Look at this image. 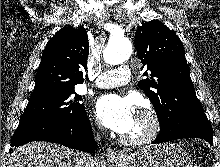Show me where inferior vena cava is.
<instances>
[{"label": "inferior vena cava", "instance_id": "obj_1", "mask_svg": "<svg viewBox=\"0 0 220 167\" xmlns=\"http://www.w3.org/2000/svg\"><path fill=\"white\" fill-rule=\"evenodd\" d=\"M96 141H100V136L97 134ZM95 159L90 154L80 153L77 160V167H94Z\"/></svg>", "mask_w": 220, "mask_h": 167}]
</instances>
